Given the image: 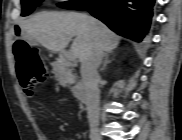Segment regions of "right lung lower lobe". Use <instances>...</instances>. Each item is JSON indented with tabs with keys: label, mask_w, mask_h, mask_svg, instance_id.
Instances as JSON below:
<instances>
[{
	"label": "right lung lower lobe",
	"mask_w": 182,
	"mask_h": 140,
	"mask_svg": "<svg viewBox=\"0 0 182 140\" xmlns=\"http://www.w3.org/2000/svg\"><path fill=\"white\" fill-rule=\"evenodd\" d=\"M155 0H101L83 10L116 33L140 42L149 29Z\"/></svg>",
	"instance_id": "right-lung-lower-lobe-1"
}]
</instances>
